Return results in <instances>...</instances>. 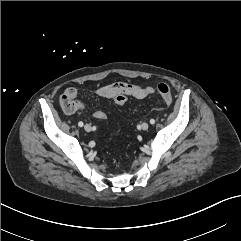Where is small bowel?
Segmentation results:
<instances>
[{"instance_id":"small-bowel-1","label":"small bowel","mask_w":241,"mask_h":241,"mask_svg":"<svg viewBox=\"0 0 241 241\" xmlns=\"http://www.w3.org/2000/svg\"><path fill=\"white\" fill-rule=\"evenodd\" d=\"M113 90H115L113 92ZM95 94L102 98H114L116 92L125 93L135 99H144L148 95L154 93V88L151 86H140L128 82H117L113 84L104 85L95 89ZM78 91L75 87H68L61 94L59 103L65 114L71 115L78 110L85 108L84 104L77 99ZM105 114L101 110L94 112L93 116L100 119Z\"/></svg>"}]
</instances>
